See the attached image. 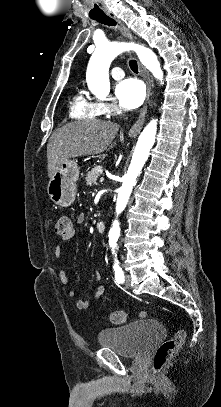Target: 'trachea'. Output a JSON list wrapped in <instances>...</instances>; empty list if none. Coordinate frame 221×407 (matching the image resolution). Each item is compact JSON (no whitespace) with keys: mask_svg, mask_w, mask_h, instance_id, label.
<instances>
[{"mask_svg":"<svg viewBox=\"0 0 221 407\" xmlns=\"http://www.w3.org/2000/svg\"><path fill=\"white\" fill-rule=\"evenodd\" d=\"M91 19L96 20L99 23L104 24V25H108V26H115L116 25V21L113 20L112 18H110L105 13H102V14H99V15H96V16H92ZM129 65H130V68H131V70L133 72L138 73L137 61L130 60Z\"/></svg>","mask_w":221,"mask_h":407,"instance_id":"obj_1","label":"trachea"}]
</instances>
